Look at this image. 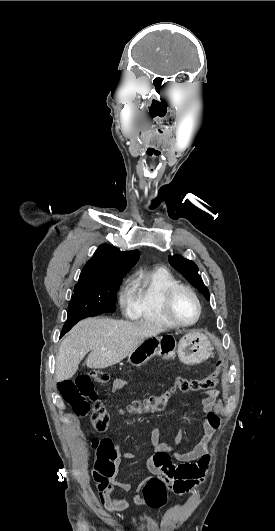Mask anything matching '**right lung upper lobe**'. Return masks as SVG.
I'll list each match as a JSON object with an SVG mask.
<instances>
[{"label": "right lung upper lobe", "instance_id": "obj_1", "mask_svg": "<svg viewBox=\"0 0 275 531\" xmlns=\"http://www.w3.org/2000/svg\"><path fill=\"white\" fill-rule=\"evenodd\" d=\"M139 255L137 250L120 251L114 246L102 244L85 264L79 280L124 277L138 261Z\"/></svg>", "mask_w": 275, "mask_h": 531}]
</instances>
